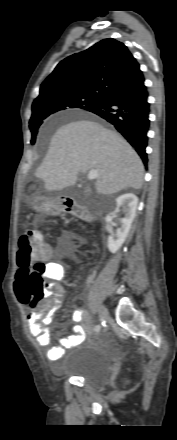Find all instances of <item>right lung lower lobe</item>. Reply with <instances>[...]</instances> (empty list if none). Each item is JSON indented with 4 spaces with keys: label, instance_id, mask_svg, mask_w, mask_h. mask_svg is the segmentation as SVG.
I'll return each mask as SVG.
<instances>
[{
    "label": "right lung lower lobe",
    "instance_id": "1",
    "mask_svg": "<svg viewBox=\"0 0 177 440\" xmlns=\"http://www.w3.org/2000/svg\"><path fill=\"white\" fill-rule=\"evenodd\" d=\"M141 71L123 81L88 111L104 118L127 139L147 165V147L149 130L148 92Z\"/></svg>",
    "mask_w": 177,
    "mask_h": 440
}]
</instances>
